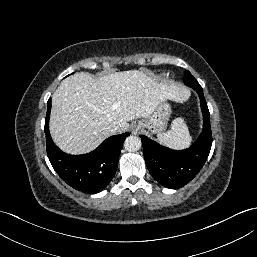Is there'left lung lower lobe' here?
Wrapping results in <instances>:
<instances>
[{
	"label": "left lung lower lobe",
	"mask_w": 257,
	"mask_h": 257,
	"mask_svg": "<svg viewBox=\"0 0 257 257\" xmlns=\"http://www.w3.org/2000/svg\"><path fill=\"white\" fill-rule=\"evenodd\" d=\"M195 90V89H194ZM203 113V130L188 149L172 150L140 135L143 154L151 175L163 186L178 189L189 183L202 169L212 145L210 113L202 88L196 89Z\"/></svg>",
	"instance_id": "1"
}]
</instances>
